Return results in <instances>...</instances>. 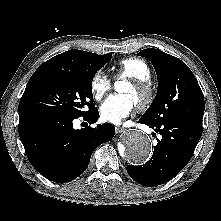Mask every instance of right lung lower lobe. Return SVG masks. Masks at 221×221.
I'll return each instance as SVG.
<instances>
[{
    "label": "right lung lower lobe",
    "instance_id": "1",
    "mask_svg": "<svg viewBox=\"0 0 221 221\" xmlns=\"http://www.w3.org/2000/svg\"><path fill=\"white\" fill-rule=\"evenodd\" d=\"M83 117L92 124L99 112L95 109ZM74 119L48 111L19 112V135L27 157L51 181L65 183L77 178L87 168L95 148L114 137L115 128L109 123L75 130Z\"/></svg>",
    "mask_w": 221,
    "mask_h": 221
}]
</instances>
